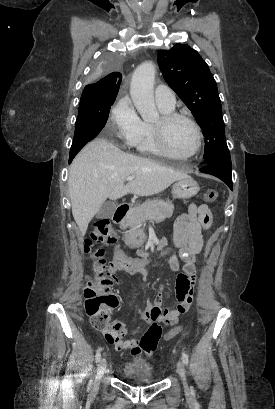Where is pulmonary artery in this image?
I'll return each mask as SVG.
<instances>
[{
	"instance_id": "pulmonary-artery-1",
	"label": "pulmonary artery",
	"mask_w": 275,
	"mask_h": 409,
	"mask_svg": "<svg viewBox=\"0 0 275 409\" xmlns=\"http://www.w3.org/2000/svg\"><path fill=\"white\" fill-rule=\"evenodd\" d=\"M155 101L158 107L173 110L176 104V98L169 85L155 86Z\"/></svg>"
}]
</instances>
